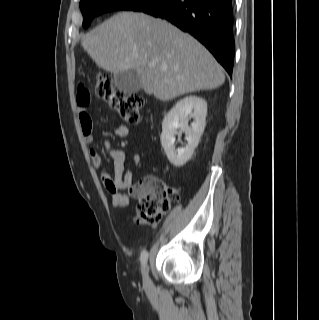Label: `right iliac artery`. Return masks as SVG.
<instances>
[{
	"label": "right iliac artery",
	"instance_id": "82829eb1",
	"mask_svg": "<svg viewBox=\"0 0 319 320\" xmlns=\"http://www.w3.org/2000/svg\"><path fill=\"white\" fill-rule=\"evenodd\" d=\"M140 259L142 265H145L148 260V252L146 250L142 251Z\"/></svg>",
	"mask_w": 319,
	"mask_h": 320
}]
</instances>
